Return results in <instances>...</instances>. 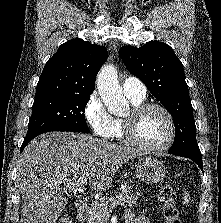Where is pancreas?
I'll return each mask as SVG.
<instances>
[{
    "instance_id": "1",
    "label": "pancreas",
    "mask_w": 221,
    "mask_h": 223,
    "mask_svg": "<svg viewBox=\"0 0 221 223\" xmlns=\"http://www.w3.org/2000/svg\"><path fill=\"white\" fill-rule=\"evenodd\" d=\"M119 202L123 207L133 206L138 201V196L132 191L131 187L125 183V188L119 194ZM108 197L95 201L90 209L87 223H108L110 208L108 207Z\"/></svg>"
}]
</instances>
